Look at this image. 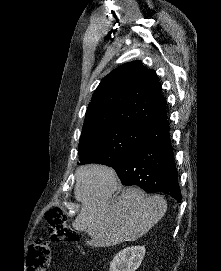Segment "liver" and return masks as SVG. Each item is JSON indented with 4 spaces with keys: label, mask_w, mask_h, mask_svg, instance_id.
<instances>
[{
    "label": "liver",
    "mask_w": 221,
    "mask_h": 271,
    "mask_svg": "<svg viewBox=\"0 0 221 271\" xmlns=\"http://www.w3.org/2000/svg\"><path fill=\"white\" fill-rule=\"evenodd\" d=\"M74 197L81 209L72 225L87 231L93 247L135 241L147 233L167 211L162 195H146L141 187H126L114 199L119 179L107 165L88 163L75 171Z\"/></svg>",
    "instance_id": "obj_1"
}]
</instances>
